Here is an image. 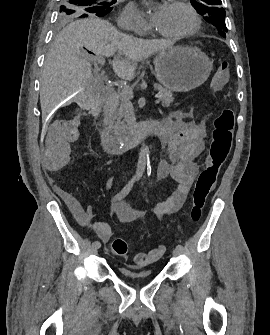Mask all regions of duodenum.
I'll return each mask as SVG.
<instances>
[{"mask_svg":"<svg viewBox=\"0 0 270 335\" xmlns=\"http://www.w3.org/2000/svg\"><path fill=\"white\" fill-rule=\"evenodd\" d=\"M105 101L102 108V118L100 121L101 142L106 152L110 154H121L126 152L141 141L149 137H159L161 133V124L158 121H147L139 125L131 134L118 137L112 133L111 125L113 115L119 104V95L117 91L104 86Z\"/></svg>","mask_w":270,"mask_h":335,"instance_id":"410a0bca","label":"duodenum"}]
</instances>
